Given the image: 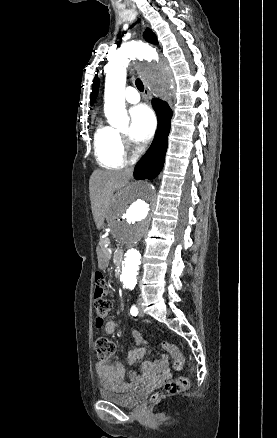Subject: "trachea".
I'll return each mask as SVG.
<instances>
[{
  "label": "trachea",
  "instance_id": "3493384b",
  "mask_svg": "<svg viewBox=\"0 0 277 438\" xmlns=\"http://www.w3.org/2000/svg\"><path fill=\"white\" fill-rule=\"evenodd\" d=\"M136 87H137V89L140 91V92H143V90H144V85H143V83H142V81L139 79V78H137V80H136Z\"/></svg>",
  "mask_w": 277,
  "mask_h": 438
}]
</instances>
